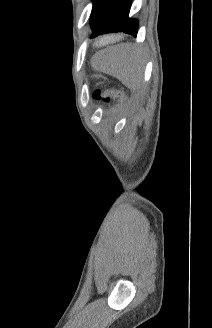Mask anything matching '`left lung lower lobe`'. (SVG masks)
I'll return each mask as SVG.
<instances>
[{"mask_svg": "<svg viewBox=\"0 0 212 328\" xmlns=\"http://www.w3.org/2000/svg\"><path fill=\"white\" fill-rule=\"evenodd\" d=\"M130 6L131 0H108L92 28L90 37L117 32H124L136 37L138 21L128 17Z\"/></svg>", "mask_w": 212, "mask_h": 328, "instance_id": "1", "label": "left lung lower lobe"}]
</instances>
